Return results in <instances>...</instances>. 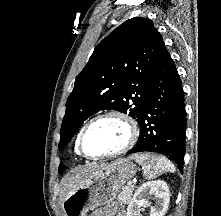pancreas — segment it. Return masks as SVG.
<instances>
[{"label":"pancreas","mask_w":221,"mask_h":216,"mask_svg":"<svg viewBox=\"0 0 221 216\" xmlns=\"http://www.w3.org/2000/svg\"><path fill=\"white\" fill-rule=\"evenodd\" d=\"M132 192H133V185H130L128 183L125 187H123L122 191L117 196L118 201L123 202L125 204L129 203L131 200Z\"/></svg>","instance_id":"1"}]
</instances>
